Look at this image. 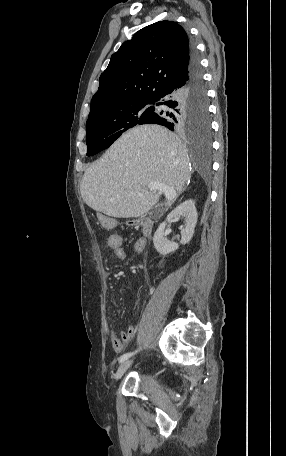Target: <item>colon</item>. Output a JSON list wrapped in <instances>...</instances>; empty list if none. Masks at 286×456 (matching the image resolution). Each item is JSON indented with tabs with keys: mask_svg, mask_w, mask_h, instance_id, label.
<instances>
[{
	"mask_svg": "<svg viewBox=\"0 0 286 456\" xmlns=\"http://www.w3.org/2000/svg\"><path fill=\"white\" fill-rule=\"evenodd\" d=\"M116 241H117L116 237L115 236H111L110 242L111 243H116Z\"/></svg>",
	"mask_w": 286,
	"mask_h": 456,
	"instance_id": "1",
	"label": "colon"
}]
</instances>
